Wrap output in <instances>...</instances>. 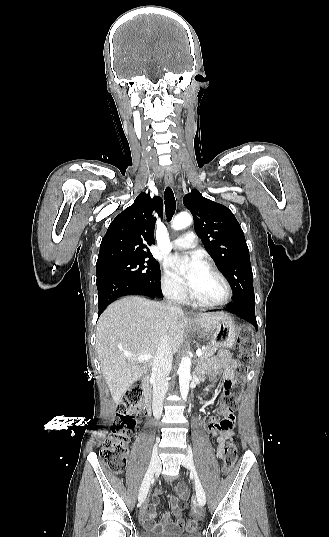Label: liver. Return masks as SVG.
<instances>
[{"label":"liver","instance_id":"1","mask_svg":"<svg viewBox=\"0 0 329 537\" xmlns=\"http://www.w3.org/2000/svg\"><path fill=\"white\" fill-rule=\"evenodd\" d=\"M225 314H198L186 319L184 314L170 313L164 304L143 297L128 296L109 305L97 323L96 348L102 374L112 399L118 403L124 393L151 366V359L139 362L125 356H155L162 334L169 335L172 353L180 348L188 322L197 323L209 332Z\"/></svg>","mask_w":329,"mask_h":537}]
</instances>
